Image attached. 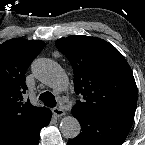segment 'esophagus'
Wrapping results in <instances>:
<instances>
[{
  "label": "esophagus",
  "mask_w": 145,
  "mask_h": 145,
  "mask_svg": "<svg viewBox=\"0 0 145 145\" xmlns=\"http://www.w3.org/2000/svg\"><path fill=\"white\" fill-rule=\"evenodd\" d=\"M52 112L56 117H61L65 115V110L63 108H53Z\"/></svg>",
  "instance_id": "esophagus-1"
}]
</instances>
